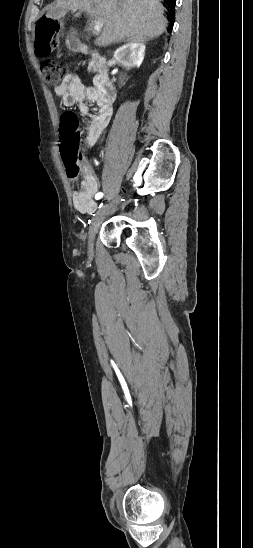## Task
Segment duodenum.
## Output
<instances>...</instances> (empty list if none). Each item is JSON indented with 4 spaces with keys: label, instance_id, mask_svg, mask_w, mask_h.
<instances>
[{
    "label": "duodenum",
    "instance_id": "410a0bca",
    "mask_svg": "<svg viewBox=\"0 0 253 548\" xmlns=\"http://www.w3.org/2000/svg\"><path fill=\"white\" fill-rule=\"evenodd\" d=\"M91 60L97 70L96 89L104 98L113 101L116 96V88L109 75L106 57L98 52H92Z\"/></svg>",
    "mask_w": 253,
    "mask_h": 548
}]
</instances>
